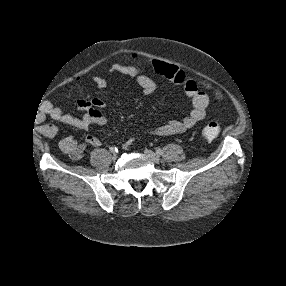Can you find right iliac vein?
<instances>
[{
	"instance_id": "63e3f726",
	"label": "right iliac vein",
	"mask_w": 286,
	"mask_h": 286,
	"mask_svg": "<svg viewBox=\"0 0 286 286\" xmlns=\"http://www.w3.org/2000/svg\"><path fill=\"white\" fill-rule=\"evenodd\" d=\"M112 159H113V160H116V159H117V155H116V154H113Z\"/></svg>"
}]
</instances>
